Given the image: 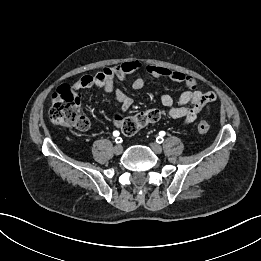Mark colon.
Masks as SVG:
<instances>
[{
    "label": "colon",
    "instance_id": "1",
    "mask_svg": "<svg viewBox=\"0 0 261 261\" xmlns=\"http://www.w3.org/2000/svg\"><path fill=\"white\" fill-rule=\"evenodd\" d=\"M77 88H79L78 83L73 86L62 85L58 88L52 96L49 114L51 120L59 126L85 131L89 128L90 122L81 113V97L76 91ZM163 115L162 110L147 109L135 115L119 117V125L124 135L132 136L145 126L160 120ZM197 129L200 133H206L210 125L207 121H200Z\"/></svg>",
    "mask_w": 261,
    "mask_h": 261
}]
</instances>
